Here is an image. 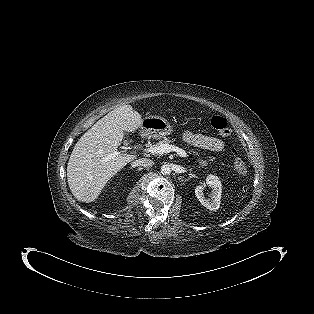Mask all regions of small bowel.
Returning <instances> with one entry per match:
<instances>
[{
    "mask_svg": "<svg viewBox=\"0 0 314 314\" xmlns=\"http://www.w3.org/2000/svg\"><path fill=\"white\" fill-rule=\"evenodd\" d=\"M182 138L186 143L194 147L213 152L221 151L225 146L224 142L218 138L194 133L191 130H185Z\"/></svg>",
    "mask_w": 314,
    "mask_h": 314,
    "instance_id": "1",
    "label": "small bowel"
}]
</instances>
